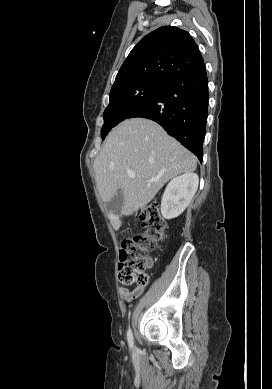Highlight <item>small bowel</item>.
I'll list each match as a JSON object with an SVG mask.
<instances>
[{"mask_svg": "<svg viewBox=\"0 0 272 389\" xmlns=\"http://www.w3.org/2000/svg\"><path fill=\"white\" fill-rule=\"evenodd\" d=\"M152 264H153L152 260L150 258H147L146 268H150L152 266ZM143 290H144L143 286H137L136 288H134L132 290L125 288V287H121L120 294L124 300L132 301V300L136 299L137 297H139L142 294Z\"/></svg>", "mask_w": 272, "mask_h": 389, "instance_id": "small-bowel-1", "label": "small bowel"}]
</instances>
